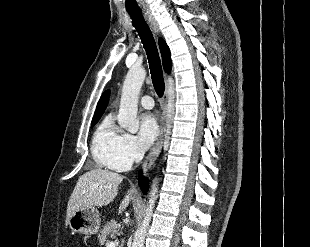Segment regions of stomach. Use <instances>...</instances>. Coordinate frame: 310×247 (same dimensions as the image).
<instances>
[{
    "label": "stomach",
    "instance_id": "stomach-1",
    "mask_svg": "<svg viewBox=\"0 0 310 247\" xmlns=\"http://www.w3.org/2000/svg\"><path fill=\"white\" fill-rule=\"evenodd\" d=\"M68 225L72 232L92 235L99 231L100 228V214L94 208L79 209L70 217Z\"/></svg>",
    "mask_w": 310,
    "mask_h": 247
}]
</instances>
